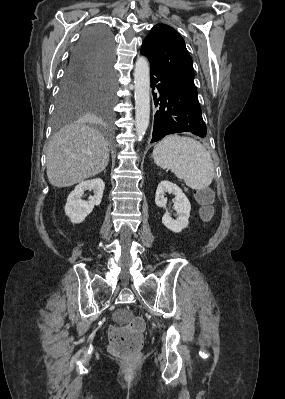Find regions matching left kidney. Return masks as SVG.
Segmentation results:
<instances>
[{"label": "left kidney", "instance_id": "5707ae66", "mask_svg": "<svg viewBox=\"0 0 285 399\" xmlns=\"http://www.w3.org/2000/svg\"><path fill=\"white\" fill-rule=\"evenodd\" d=\"M175 195L174 210L177 212V218H171L170 213H166L162 217V223L172 232L179 233L188 226L191 204L183 193V191L170 181H161L157 187L155 195V203L158 207H166L167 199L165 193Z\"/></svg>", "mask_w": 285, "mask_h": 399}]
</instances>
